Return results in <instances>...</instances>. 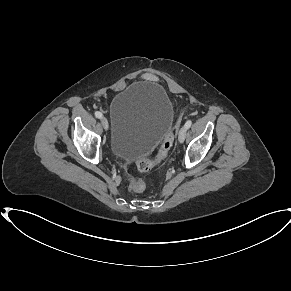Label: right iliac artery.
<instances>
[{
    "instance_id": "82829eb1",
    "label": "right iliac artery",
    "mask_w": 291,
    "mask_h": 291,
    "mask_svg": "<svg viewBox=\"0 0 291 291\" xmlns=\"http://www.w3.org/2000/svg\"><path fill=\"white\" fill-rule=\"evenodd\" d=\"M95 116H96L97 118H102V113L99 112V111H96V112H95Z\"/></svg>"
}]
</instances>
